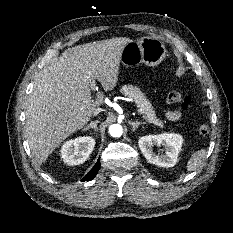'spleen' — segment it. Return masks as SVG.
Returning a JSON list of instances; mask_svg holds the SVG:
<instances>
[{"label": "spleen", "instance_id": "3e777b00", "mask_svg": "<svg viewBox=\"0 0 233 233\" xmlns=\"http://www.w3.org/2000/svg\"><path fill=\"white\" fill-rule=\"evenodd\" d=\"M206 157V150L205 149H200L196 152H194L189 161L187 162V171H195L202 163V161Z\"/></svg>", "mask_w": 233, "mask_h": 233}]
</instances>
